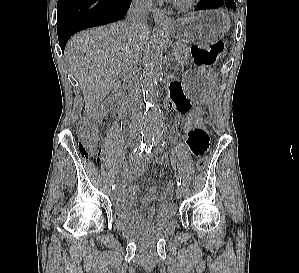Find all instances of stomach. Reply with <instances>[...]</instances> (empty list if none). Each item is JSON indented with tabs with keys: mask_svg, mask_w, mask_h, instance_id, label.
Returning <instances> with one entry per match:
<instances>
[{
	"mask_svg": "<svg viewBox=\"0 0 299 273\" xmlns=\"http://www.w3.org/2000/svg\"><path fill=\"white\" fill-rule=\"evenodd\" d=\"M167 30L181 42L204 44L221 38L230 28V19L221 10L201 11L196 14L173 20ZM216 69H195L184 73V83L188 101L202 102L208 95L212 74Z\"/></svg>",
	"mask_w": 299,
	"mask_h": 273,
	"instance_id": "0dacf381",
	"label": "stomach"
}]
</instances>
